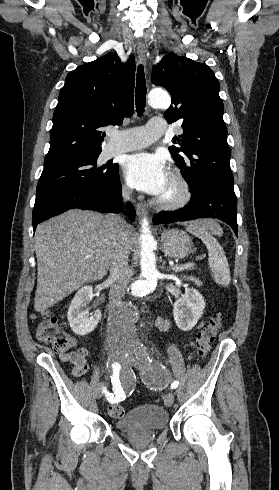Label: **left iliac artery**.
<instances>
[{
    "instance_id": "left-iliac-artery-1",
    "label": "left iliac artery",
    "mask_w": 279,
    "mask_h": 490,
    "mask_svg": "<svg viewBox=\"0 0 279 490\" xmlns=\"http://www.w3.org/2000/svg\"><path fill=\"white\" fill-rule=\"evenodd\" d=\"M162 367L165 369V366H162ZM177 384H178V382H177Z\"/></svg>"
}]
</instances>
